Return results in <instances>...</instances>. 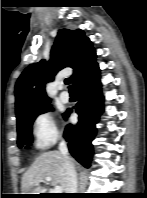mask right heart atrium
<instances>
[{
	"label": "right heart atrium",
	"mask_w": 147,
	"mask_h": 198,
	"mask_svg": "<svg viewBox=\"0 0 147 198\" xmlns=\"http://www.w3.org/2000/svg\"><path fill=\"white\" fill-rule=\"evenodd\" d=\"M32 132L35 147L40 150L50 147L61 138L53 114L47 111L36 115L32 124Z\"/></svg>",
	"instance_id": "obj_1"
}]
</instances>
